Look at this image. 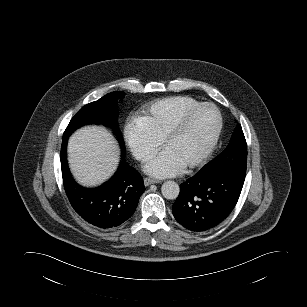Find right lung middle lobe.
<instances>
[{
	"mask_svg": "<svg viewBox=\"0 0 307 307\" xmlns=\"http://www.w3.org/2000/svg\"><path fill=\"white\" fill-rule=\"evenodd\" d=\"M125 95L122 91L111 92L98 101L89 103L82 107L71 119L63 136L69 137L77 128L87 124H103L113 128L124 154V141L117 127V100Z\"/></svg>",
	"mask_w": 307,
	"mask_h": 307,
	"instance_id": "dd1d6c3e",
	"label": "right lung middle lobe"
}]
</instances>
